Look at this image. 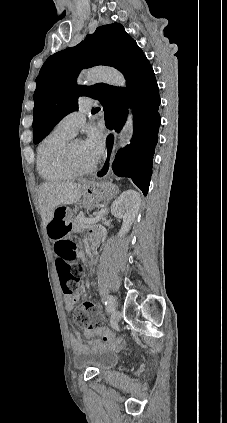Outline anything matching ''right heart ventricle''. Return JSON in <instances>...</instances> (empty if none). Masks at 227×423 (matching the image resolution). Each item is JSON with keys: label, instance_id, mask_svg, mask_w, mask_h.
<instances>
[{"label": "right heart ventricle", "instance_id": "e07e8e85", "mask_svg": "<svg viewBox=\"0 0 227 423\" xmlns=\"http://www.w3.org/2000/svg\"><path fill=\"white\" fill-rule=\"evenodd\" d=\"M72 137L70 133L56 126L39 143L36 167L44 180L56 182L69 177L62 164L61 152Z\"/></svg>", "mask_w": 227, "mask_h": 423}]
</instances>
